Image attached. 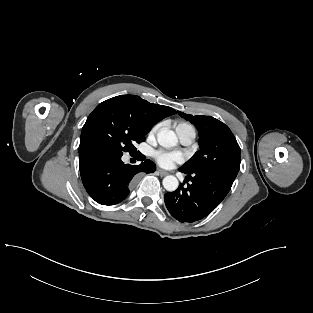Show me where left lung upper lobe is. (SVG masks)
Wrapping results in <instances>:
<instances>
[{
	"mask_svg": "<svg viewBox=\"0 0 313 313\" xmlns=\"http://www.w3.org/2000/svg\"><path fill=\"white\" fill-rule=\"evenodd\" d=\"M178 114L195 125L200 136V150L181 168L189 174L214 172L236 178L240 147L228 126L210 116Z\"/></svg>",
	"mask_w": 313,
	"mask_h": 313,
	"instance_id": "left-lung-upper-lobe-1",
	"label": "left lung upper lobe"
}]
</instances>
